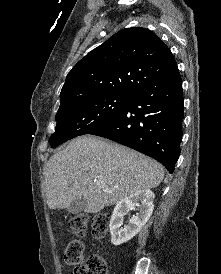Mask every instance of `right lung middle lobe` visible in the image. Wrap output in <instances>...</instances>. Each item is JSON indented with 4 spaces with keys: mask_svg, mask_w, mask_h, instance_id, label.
I'll use <instances>...</instances> for the list:
<instances>
[{
    "mask_svg": "<svg viewBox=\"0 0 221 274\" xmlns=\"http://www.w3.org/2000/svg\"><path fill=\"white\" fill-rule=\"evenodd\" d=\"M112 94L93 96L60 104L56 114V129L50 144L56 147L74 137L89 134L108 122L131 98Z\"/></svg>",
    "mask_w": 221,
    "mask_h": 274,
    "instance_id": "right-lung-middle-lobe-1",
    "label": "right lung middle lobe"
}]
</instances>
